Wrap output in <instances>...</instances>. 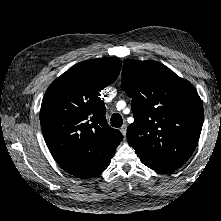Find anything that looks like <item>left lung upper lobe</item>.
Instances as JSON below:
<instances>
[{
  "label": "left lung upper lobe",
  "mask_w": 221,
  "mask_h": 221,
  "mask_svg": "<svg viewBox=\"0 0 221 221\" xmlns=\"http://www.w3.org/2000/svg\"><path fill=\"white\" fill-rule=\"evenodd\" d=\"M122 89L132 98L127 140L139 157L181 167L202 129L201 99L188 81L156 61L125 59Z\"/></svg>",
  "instance_id": "left-lung-upper-lobe-1"
}]
</instances>
